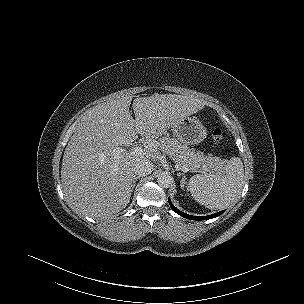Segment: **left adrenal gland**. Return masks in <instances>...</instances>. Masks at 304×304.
<instances>
[{"instance_id":"obj_1","label":"left adrenal gland","mask_w":304,"mask_h":304,"mask_svg":"<svg viewBox=\"0 0 304 304\" xmlns=\"http://www.w3.org/2000/svg\"><path fill=\"white\" fill-rule=\"evenodd\" d=\"M177 175L182 177V179L180 181V186H181V189H184L185 184H187V182H186V176L183 173H177Z\"/></svg>"}]
</instances>
